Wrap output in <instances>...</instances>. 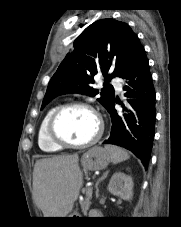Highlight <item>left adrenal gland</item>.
Masks as SVG:
<instances>
[{
  "mask_svg": "<svg viewBox=\"0 0 181 227\" xmlns=\"http://www.w3.org/2000/svg\"><path fill=\"white\" fill-rule=\"evenodd\" d=\"M108 173H109V171L107 170V171L103 174V176H102L101 178L98 179V181H97V183H96V197H97V198L99 197L98 184H99L102 180H104V179L107 177Z\"/></svg>",
  "mask_w": 181,
  "mask_h": 227,
  "instance_id": "1",
  "label": "left adrenal gland"
}]
</instances>
